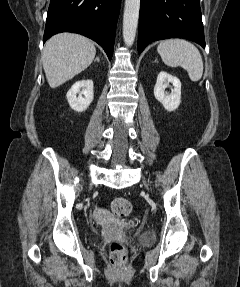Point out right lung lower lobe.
I'll return each instance as SVG.
<instances>
[{
    "label": "right lung lower lobe",
    "mask_w": 240,
    "mask_h": 287,
    "mask_svg": "<svg viewBox=\"0 0 240 287\" xmlns=\"http://www.w3.org/2000/svg\"><path fill=\"white\" fill-rule=\"evenodd\" d=\"M121 0H50L43 43L59 32H74L96 41L109 60L113 55Z\"/></svg>",
    "instance_id": "right-lung-lower-lobe-1"
}]
</instances>
